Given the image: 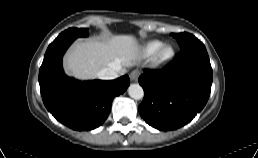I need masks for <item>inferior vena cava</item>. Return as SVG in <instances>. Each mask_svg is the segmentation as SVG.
Wrapping results in <instances>:
<instances>
[{"label": "inferior vena cava", "instance_id": "obj_1", "mask_svg": "<svg viewBox=\"0 0 258 158\" xmlns=\"http://www.w3.org/2000/svg\"><path fill=\"white\" fill-rule=\"evenodd\" d=\"M121 70L120 64H114L111 67L104 68L100 70L97 74L98 78L103 80H112L116 79L119 76Z\"/></svg>", "mask_w": 258, "mask_h": 158}]
</instances>
